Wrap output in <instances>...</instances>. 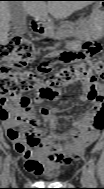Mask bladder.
<instances>
[{
  "mask_svg": "<svg viewBox=\"0 0 104 189\" xmlns=\"http://www.w3.org/2000/svg\"><path fill=\"white\" fill-rule=\"evenodd\" d=\"M59 176V172L55 170L47 171L44 173V177L50 180L56 179Z\"/></svg>",
  "mask_w": 104,
  "mask_h": 189,
  "instance_id": "31cf9c89",
  "label": "bladder"
}]
</instances>
